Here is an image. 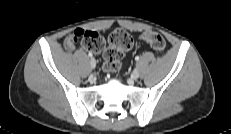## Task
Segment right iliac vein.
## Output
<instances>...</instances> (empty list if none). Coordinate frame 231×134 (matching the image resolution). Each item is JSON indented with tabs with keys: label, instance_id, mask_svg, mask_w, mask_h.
<instances>
[{
	"label": "right iliac vein",
	"instance_id": "right-iliac-vein-1",
	"mask_svg": "<svg viewBox=\"0 0 231 134\" xmlns=\"http://www.w3.org/2000/svg\"><path fill=\"white\" fill-rule=\"evenodd\" d=\"M90 66H91V68H95V66H96V61H95V59L94 58H91L90 59Z\"/></svg>",
	"mask_w": 231,
	"mask_h": 134
}]
</instances>
